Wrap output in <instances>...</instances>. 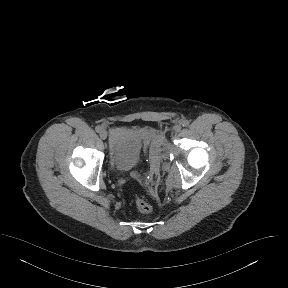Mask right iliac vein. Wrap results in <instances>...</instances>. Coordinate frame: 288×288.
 <instances>
[{"mask_svg": "<svg viewBox=\"0 0 288 288\" xmlns=\"http://www.w3.org/2000/svg\"><path fill=\"white\" fill-rule=\"evenodd\" d=\"M100 138H101L102 140H105V139L107 138V131H106V130H102V131L100 132Z\"/></svg>", "mask_w": 288, "mask_h": 288, "instance_id": "right-iliac-vein-1", "label": "right iliac vein"}]
</instances>
